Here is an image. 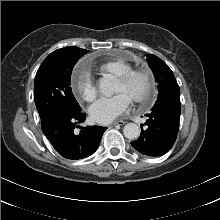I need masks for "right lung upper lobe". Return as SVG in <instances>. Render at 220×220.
Instances as JSON below:
<instances>
[{
	"label": "right lung upper lobe",
	"mask_w": 220,
	"mask_h": 220,
	"mask_svg": "<svg viewBox=\"0 0 220 220\" xmlns=\"http://www.w3.org/2000/svg\"><path fill=\"white\" fill-rule=\"evenodd\" d=\"M57 52H69V53H74V54H85L87 52H89L88 50L85 49H80L78 47H64L61 49H58L52 53H57ZM44 124V123H42Z\"/></svg>",
	"instance_id": "cb5924a9"
}]
</instances>
